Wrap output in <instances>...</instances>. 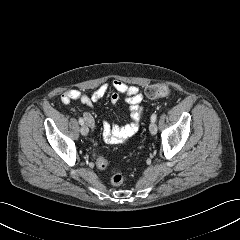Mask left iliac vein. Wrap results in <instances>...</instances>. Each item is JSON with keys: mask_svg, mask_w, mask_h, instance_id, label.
Masks as SVG:
<instances>
[{"mask_svg": "<svg viewBox=\"0 0 240 240\" xmlns=\"http://www.w3.org/2000/svg\"><path fill=\"white\" fill-rule=\"evenodd\" d=\"M149 131L152 135H155L157 133V125L155 124V122H151L149 124Z\"/></svg>", "mask_w": 240, "mask_h": 240, "instance_id": "1", "label": "left iliac vein"}]
</instances>
